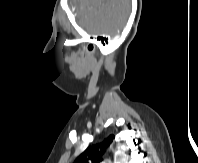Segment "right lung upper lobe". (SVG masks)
Returning a JSON list of instances; mask_svg holds the SVG:
<instances>
[{
    "instance_id": "obj_1",
    "label": "right lung upper lobe",
    "mask_w": 198,
    "mask_h": 163,
    "mask_svg": "<svg viewBox=\"0 0 198 163\" xmlns=\"http://www.w3.org/2000/svg\"><path fill=\"white\" fill-rule=\"evenodd\" d=\"M114 136L110 135L104 143L88 147L81 155L77 157L74 163H100L105 149L113 141Z\"/></svg>"
}]
</instances>
